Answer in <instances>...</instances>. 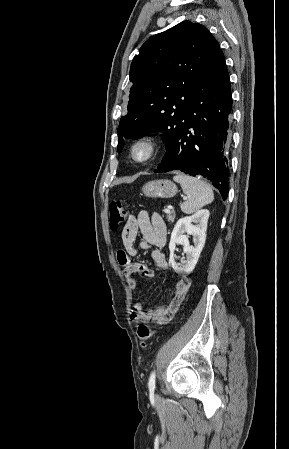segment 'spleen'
I'll return each instance as SVG.
<instances>
[{
	"instance_id": "obj_1",
	"label": "spleen",
	"mask_w": 289,
	"mask_h": 449,
	"mask_svg": "<svg viewBox=\"0 0 289 449\" xmlns=\"http://www.w3.org/2000/svg\"><path fill=\"white\" fill-rule=\"evenodd\" d=\"M173 180L181 185L183 192L187 196L180 206L183 213H194L203 206L213 202L214 193L206 182L182 173H177Z\"/></svg>"
}]
</instances>
